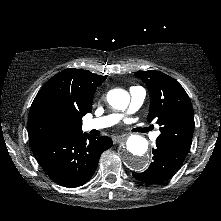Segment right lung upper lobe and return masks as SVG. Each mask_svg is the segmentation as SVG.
<instances>
[{
  "label": "right lung upper lobe",
  "instance_id": "1",
  "mask_svg": "<svg viewBox=\"0 0 221 221\" xmlns=\"http://www.w3.org/2000/svg\"><path fill=\"white\" fill-rule=\"evenodd\" d=\"M107 76L70 68L48 80L37 93L28 117L29 142L45 139L52 123L64 134L82 133V117L92 111L95 90Z\"/></svg>",
  "mask_w": 221,
  "mask_h": 221
}]
</instances>
